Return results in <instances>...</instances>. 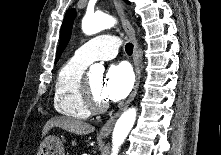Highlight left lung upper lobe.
<instances>
[{
    "label": "left lung upper lobe",
    "mask_w": 221,
    "mask_h": 155,
    "mask_svg": "<svg viewBox=\"0 0 221 155\" xmlns=\"http://www.w3.org/2000/svg\"><path fill=\"white\" fill-rule=\"evenodd\" d=\"M127 1V0H126ZM76 12L74 9H70L66 12L62 26H61V32H60V43L57 49V57L56 61L61 56V53L63 52L64 48L68 44L71 36V30L73 25V20L75 18Z\"/></svg>",
    "instance_id": "5c2ea615"
}]
</instances>
